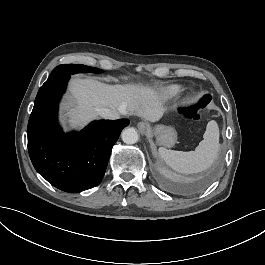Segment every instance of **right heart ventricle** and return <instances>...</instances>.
Instances as JSON below:
<instances>
[{
    "label": "right heart ventricle",
    "instance_id": "obj_1",
    "mask_svg": "<svg viewBox=\"0 0 265 265\" xmlns=\"http://www.w3.org/2000/svg\"><path fill=\"white\" fill-rule=\"evenodd\" d=\"M184 87L181 82H171L154 89H148L143 92V95L152 102L169 101L177 97L184 90Z\"/></svg>",
    "mask_w": 265,
    "mask_h": 265
}]
</instances>
